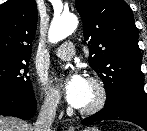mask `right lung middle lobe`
<instances>
[{"mask_svg":"<svg viewBox=\"0 0 147 131\" xmlns=\"http://www.w3.org/2000/svg\"><path fill=\"white\" fill-rule=\"evenodd\" d=\"M29 60L0 58V92L27 96L33 93L28 73Z\"/></svg>","mask_w":147,"mask_h":131,"instance_id":"obj_1","label":"right lung middle lobe"}]
</instances>
